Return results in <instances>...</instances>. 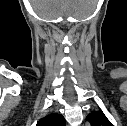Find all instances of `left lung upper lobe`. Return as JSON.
Returning <instances> with one entry per match:
<instances>
[{
    "label": "left lung upper lobe",
    "instance_id": "5c2ea615",
    "mask_svg": "<svg viewBox=\"0 0 127 126\" xmlns=\"http://www.w3.org/2000/svg\"><path fill=\"white\" fill-rule=\"evenodd\" d=\"M87 120L91 126H113L102 111L89 113Z\"/></svg>",
    "mask_w": 127,
    "mask_h": 126
}]
</instances>
